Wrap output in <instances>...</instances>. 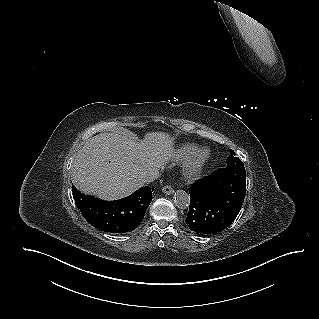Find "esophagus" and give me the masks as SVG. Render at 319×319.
<instances>
[{"label":"esophagus","instance_id":"34e87169","mask_svg":"<svg viewBox=\"0 0 319 319\" xmlns=\"http://www.w3.org/2000/svg\"><path fill=\"white\" fill-rule=\"evenodd\" d=\"M162 190H163V192H164L165 194H167V195H171V194L174 193V189L172 188L171 185H166V186H164Z\"/></svg>","mask_w":319,"mask_h":319}]
</instances>
